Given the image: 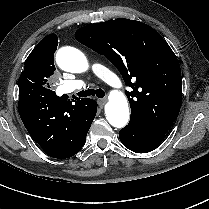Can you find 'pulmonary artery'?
<instances>
[{
	"instance_id": "obj_1",
	"label": "pulmonary artery",
	"mask_w": 209,
	"mask_h": 209,
	"mask_svg": "<svg viewBox=\"0 0 209 209\" xmlns=\"http://www.w3.org/2000/svg\"><path fill=\"white\" fill-rule=\"evenodd\" d=\"M91 70L95 77L104 81L107 85H109L114 90L120 89V82L118 76L106 66L101 63L93 62L91 65ZM62 89L64 93H70L74 89H79L84 85L82 80H77L74 83L70 82H62Z\"/></svg>"
}]
</instances>
